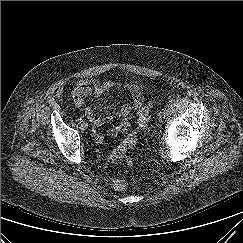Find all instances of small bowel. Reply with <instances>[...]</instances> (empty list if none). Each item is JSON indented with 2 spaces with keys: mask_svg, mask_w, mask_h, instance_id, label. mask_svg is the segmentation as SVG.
Listing matches in <instances>:
<instances>
[{
  "mask_svg": "<svg viewBox=\"0 0 243 243\" xmlns=\"http://www.w3.org/2000/svg\"><path fill=\"white\" fill-rule=\"evenodd\" d=\"M110 90L118 92L128 91L132 96L131 104H123L119 110V120L111 129L112 133L125 132L130 125V115L132 109L141 107L144 96L139 85L122 84L115 81L102 82L96 78H86L78 80L72 89V98L77 108L83 109L86 117L93 125L95 133V141L101 143L103 135L99 132V128L104 124V119L99 116L92 107L86 105V99L90 96L100 97Z\"/></svg>",
  "mask_w": 243,
  "mask_h": 243,
  "instance_id": "small-bowel-1",
  "label": "small bowel"
}]
</instances>
